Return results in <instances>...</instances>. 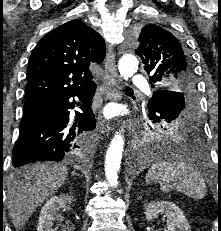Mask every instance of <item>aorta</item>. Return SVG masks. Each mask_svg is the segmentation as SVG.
<instances>
[{"instance_id": "762f6f07", "label": "aorta", "mask_w": 221, "mask_h": 231, "mask_svg": "<svg viewBox=\"0 0 221 231\" xmlns=\"http://www.w3.org/2000/svg\"><path fill=\"white\" fill-rule=\"evenodd\" d=\"M138 60L131 53H127L121 57L118 69L121 77L125 80L132 77L138 69ZM124 150V136L119 132L112 138L105 157V176L111 186L118 184V172L121 166L122 154ZM142 162L147 158L141 157Z\"/></svg>"}]
</instances>
